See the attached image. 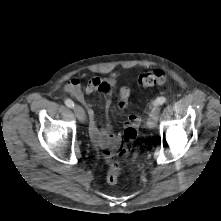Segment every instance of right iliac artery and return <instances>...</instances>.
<instances>
[{
  "label": "right iliac artery",
  "mask_w": 221,
  "mask_h": 221,
  "mask_svg": "<svg viewBox=\"0 0 221 221\" xmlns=\"http://www.w3.org/2000/svg\"><path fill=\"white\" fill-rule=\"evenodd\" d=\"M65 104L66 106L70 107V108H73L74 107V102L70 99H66L65 100Z\"/></svg>",
  "instance_id": "obj_1"
}]
</instances>
